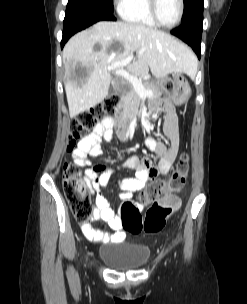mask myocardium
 <instances>
[{
	"label": "myocardium",
	"instance_id": "1",
	"mask_svg": "<svg viewBox=\"0 0 247 304\" xmlns=\"http://www.w3.org/2000/svg\"><path fill=\"white\" fill-rule=\"evenodd\" d=\"M178 1H179V15L177 20L171 25H165L160 21L158 16V10H157L158 0H148L150 14L158 26L166 29H172L180 24L184 14V0H178Z\"/></svg>",
	"mask_w": 247,
	"mask_h": 304
}]
</instances>
